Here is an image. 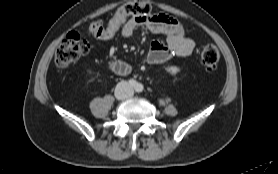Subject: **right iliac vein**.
Masks as SVG:
<instances>
[{"label":"right iliac vein","mask_w":278,"mask_h":174,"mask_svg":"<svg viewBox=\"0 0 278 174\" xmlns=\"http://www.w3.org/2000/svg\"><path fill=\"white\" fill-rule=\"evenodd\" d=\"M125 96H126V93H125V91H124L123 88H119V89H117V90L115 91V97H116V99L122 100V99L125 98Z\"/></svg>","instance_id":"right-iliac-vein-1"}]
</instances>
